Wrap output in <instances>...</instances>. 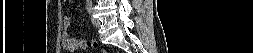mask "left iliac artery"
Returning <instances> with one entry per match:
<instances>
[{
    "label": "left iliac artery",
    "instance_id": "44dca946",
    "mask_svg": "<svg viewBox=\"0 0 253 53\" xmlns=\"http://www.w3.org/2000/svg\"><path fill=\"white\" fill-rule=\"evenodd\" d=\"M86 9H87V11L89 12V13H91L92 12V2H91V0H87V3H86Z\"/></svg>",
    "mask_w": 253,
    "mask_h": 53
}]
</instances>
